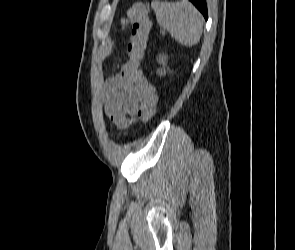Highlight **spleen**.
<instances>
[{"label": "spleen", "mask_w": 295, "mask_h": 250, "mask_svg": "<svg viewBox=\"0 0 295 250\" xmlns=\"http://www.w3.org/2000/svg\"><path fill=\"white\" fill-rule=\"evenodd\" d=\"M151 7L159 25L179 44L192 47L198 43L202 33V16L188 0L175 3L154 0Z\"/></svg>", "instance_id": "3e777b00"}]
</instances>
